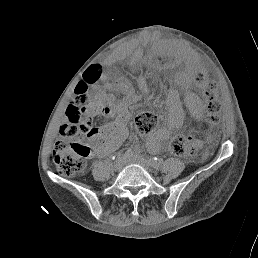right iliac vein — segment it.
Instances as JSON below:
<instances>
[{"instance_id":"63e3f726","label":"right iliac vein","mask_w":258,"mask_h":258,"mask_svg":"<svg viewBox=\"0 0 258 258\" xmlns=\"http://www.w3.org/2000/svg\"><path fill=\"white\" fill-rule=\"evenodd\" d=\"M123 164H124V161L122 159H117L114 163V167L115 169L120 170L122 169Z\"/></svg>"}]
</instances>
